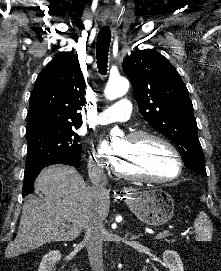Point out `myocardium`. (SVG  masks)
<instances>
[{"mask_svg":"<svg viewBox=\"0 0 221 271\" xmlns=\"http://www.w3.org/2000/svg\"><path fill=\"white\" fill-rule=\"evenodd\" d=\"M169 140L171 138L163 135L159 132L148 130L142 133H130V137H127V142H131V145H139L141 142H156V145H161L165 150H170L171 156L170 163L173 165L174 173L168 176H152L143 175L142 173H124L120 170L119 163L115 158H108V171H114L115 176H119V179H132V178H147V183L163 184L168 183V178H179L184 172L183 166L178 165L180 159H178V150H173V145ZM137 168V167H136Z\"/></svg>","mask_w":221,"mask_h":271,"instance_id":"obj_1","label":"myocardium"}]
</instances>
